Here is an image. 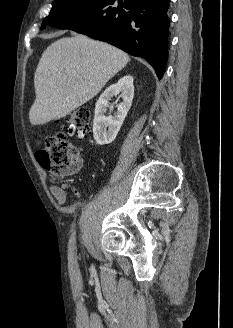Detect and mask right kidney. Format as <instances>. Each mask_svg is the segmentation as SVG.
Returning a JSON list of instances; mask_svg holds the SVG:
<instances>
[{
  "instance_id": "right-kidney-1",
  "label": "right kidney",
  "mask_w": 233,
  "mask_h": 328,
  "mask_svg": "<svg viewBox=\"0 0 233 328\" xmlns=\"http://www.w3.org/2000/svg\"><path fill=\"white\" fill-rule=\"evenodd\" d=\"M120 92L123 101L117 106L116 114L113 117H106L105 113L109 107V100ZM133 97V77L130 75L123 76L100 95L96 103L93 120V137L98 145L110 144L114 141L131 107ZM110 110H113V106H110ZM107 127L108 130H106Z\"/></svg>"
}]
</instances>
